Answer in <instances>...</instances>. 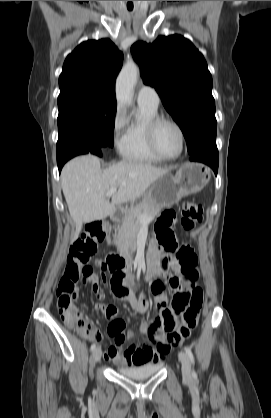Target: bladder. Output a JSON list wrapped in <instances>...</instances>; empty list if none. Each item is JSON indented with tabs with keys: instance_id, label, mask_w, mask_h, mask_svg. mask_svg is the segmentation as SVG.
I'll list each match as a JSON object with an SVG mask.
<instances>
[{
	"instance_id": "1",
	"label": "bladder",
	"mask_w": 271,
	"mask_h": 418,
	"mask_svg": "<svg viewBox=\"0 0 271 418\" xmlns=\"http://www.w3.org/2000/svg\"><path fill=\"white\" fill-rule=\"evenodd\" d=\"M163 364L161 362L158 363H147L141 366H134V367H125L119 366L117 371L134 380H144L160 371Z\"/></svg>"
}]
</instances>
